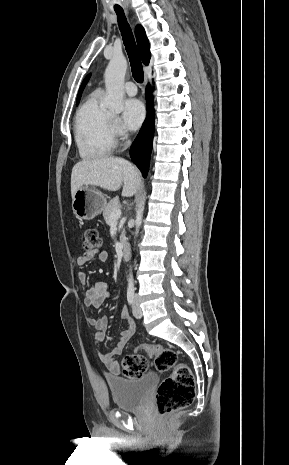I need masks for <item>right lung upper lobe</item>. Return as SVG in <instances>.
Listing matches in <instances>:
<instances>
[{
    "instance_id": "obj_1",
    "label": "right lung upper lobe",
    "mask_w": 289,
    "mask_h": 465,
    "mask_svg": "<svg viewBox=\"0 0 289 465\" xmlns=\"http://www.w3.org/2000/svg\"><path fill=\"white\" fill-rule=\"evenodd\" d=\"M135 33H136V39H137V44H138V48H139V51H140L141 59H142V61H143V63L145 65H148L149 61H150L151 54H150L149 41H148V39L146 37L145 31H144L142 26L138 25L136 27V29H135ZM89 78H90V75H88L84 79L83 83L81 84L79 92H78L77 102L80 100L82 91H83L86 83L88 82Z\"/></svg>"
}]
</instances>
